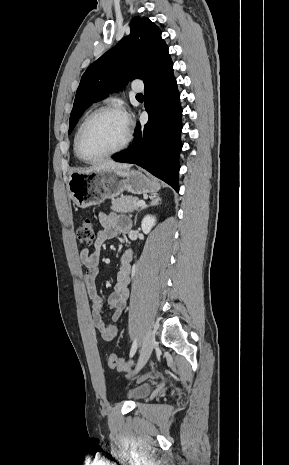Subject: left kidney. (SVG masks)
<instances>
[{"instance_id":"5707ae66","label":"left kidney","mask_w":289,"mask_h":465,"mask_svg":"<svg viewBox=\"0 0 289 465\" xmlns=\"http://www.w3.org/2000/svg\"><path fill=\"white\" fill-rule=\"evenodd\" d=\"M155 224H156V217L152 215H146L141 222L142 231L145 234L150 233L151 229L155 226Z\"/></svg>"}]
</instances>
